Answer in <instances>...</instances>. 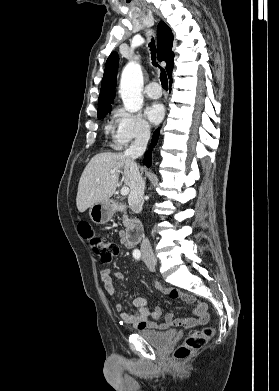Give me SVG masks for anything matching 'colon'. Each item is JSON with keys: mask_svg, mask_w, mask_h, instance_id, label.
Masks as SVG:
<instances>
[{"mask_svg": "<svg viewBox=\"0 0 279 391\" xmlns=\"http://www.w3.org/2000/svg\"><path fill=\"white\" fill-rule=\"evenodd\" d=\"M81 236L88 240L92 251L102 263L110 262L119 252L118 245L109 239L97 234L88 222L79 224ZM213 335V328L205 326L200 330L191 333L184 342L176 349L175 357L178 360H185L202 348Z\"/></svg>", "mask_w": 279, "mask_h": 391, "instance_id": "5ec220e1", "label": "colon"}]
</instances>
